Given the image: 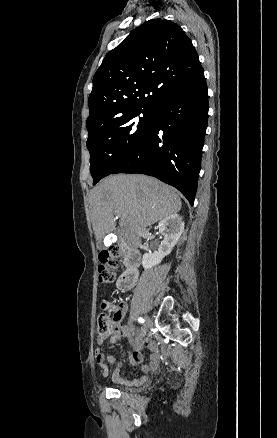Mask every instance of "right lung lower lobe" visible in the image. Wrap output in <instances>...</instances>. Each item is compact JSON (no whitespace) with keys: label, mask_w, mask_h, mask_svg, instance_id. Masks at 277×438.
<instances>
[{"label":"right lung lower lobe","mask_w":277,"mask_h":438,"mask_svg":"<svg viewBox=\"0 0 277 438\" xmlns=\"http://www.w3.org/2000/svg\"><path fill=\"white\" fill-rule=\"evenodd\" d=\"M177 68L170 65L168 70ZM207 118L208 92L202 72L155 102L149 131L113 174L154 176L177 188L193 205Z\"/></svg>","instance_id":"right-lung-lower-lobe-1"}]
</instances>
